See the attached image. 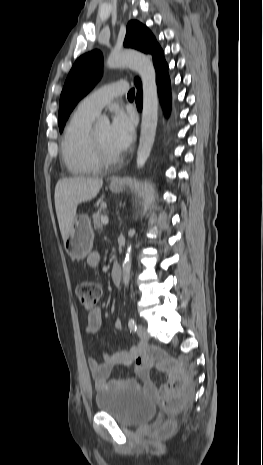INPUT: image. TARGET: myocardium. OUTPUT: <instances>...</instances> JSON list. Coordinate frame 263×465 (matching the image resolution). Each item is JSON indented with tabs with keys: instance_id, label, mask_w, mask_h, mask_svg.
I'll return each instance as SVG.
<instances>
[{
	"instance_id": "f54148a6",
	"label": "myocardium",
	"mask_w": 263,
	"mask_h": 465,
	"mask_svg": "<svg viewBox=\"0 0 263 465\" xmlns=\"http://www.w3.org/2000/svg\"><path fill=\"white\" fill-rule=\"evenodd\" d=\"M89 142L91 145L93 155L96 161L101 166H108V165L115 164L121 159L120 154L109 155L104 151V149L102 148L101 144L99 143L96 137L95 129H91L89 132Z\"/></svg>"
}]
</instances>
